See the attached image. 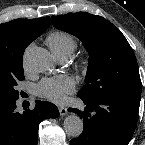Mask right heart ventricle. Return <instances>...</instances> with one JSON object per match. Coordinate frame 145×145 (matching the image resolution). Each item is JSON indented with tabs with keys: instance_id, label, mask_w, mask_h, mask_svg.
Returning <instances> with one entry per match:
<instances>
[{
	"instance_id": "right-heart-ventricle-1",
	"label": "right heart ventricle",
	"mask_w": 145,
	"mask_h": 145,
	"mask_svg": "<svg viewBox=\"0 0 145 145\" xmlns=\"http://www.w3.org/2000/svg\"><path fill=\"white\" fill-rule=\"evenodd\" d=\"M46 43L57 56H70L76 48L75 38L68 32L55 30L50 32L46 37Z\"/></svg>"
}]
</instances>
